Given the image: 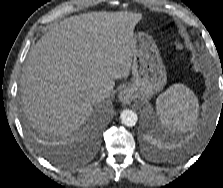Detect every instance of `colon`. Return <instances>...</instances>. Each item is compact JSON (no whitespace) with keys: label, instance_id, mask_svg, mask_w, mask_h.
I'll return each mask as SVG.
<instances>
[{"label":"colon","instance_id":"5ec220e1","mask_svg":"<svg viewBox=\"0 0 223 188\" xmlns=\"http://www.w3.org/2000/svg\"><path fill=\"white\" fill-rule=\"evenodd\" d=\"M170 28H171L172 31H175V25H174V24H171V25H170ZM178 47H179V48H182L181 43H178Z\"/></svg>","mask_w":223,"mask_h":188}]
</instances>
